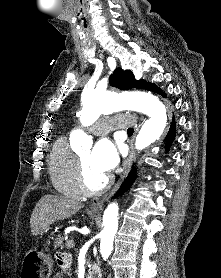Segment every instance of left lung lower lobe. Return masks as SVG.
I'll list each match as a JSON object with an SVG mask.
<instances>
[{"mask_svg":"<svg viewBox=\"0 0 221 278\" xmlns=\"http://www.w3.org/2000/svg\"><path fill=\"white\" fill-rule=\"evenodd\" d=\"M174 137H175V121H174V118H173V121H172V124H171V127L169 129V132H168V135L166 137V141H167V144L168 146L170 147L172 141L174 140ZM135 168L133 167V169L131 170V172L129 173L126 181L124 182V184L121 186L120 190L118 191V193L116 194V196L120 195L121 193L125 192L128 187L132 184V182L134 181L135 179Z\"/></svg>","mask_w":221,"mask_h":278,"instance_id":"obj_1","label":"left lung lower lobe"}]
</instances>
